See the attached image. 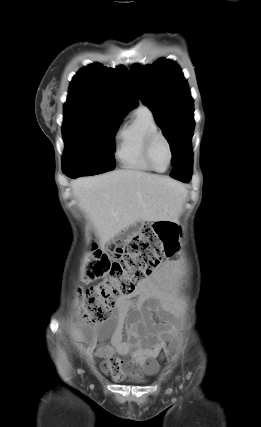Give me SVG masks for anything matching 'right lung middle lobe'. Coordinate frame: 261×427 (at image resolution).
<instances>
[{
    "instance_id": "1",
    "label": "right lung middle lobe",
    "mask_w": 261,
    "mask_h": 427,
    "mask_svg": "<svg viewBox=\"0 0 261 427\" xmlns=\"http://www.w3.org/2000/svg\"><path fill=\"white\" fill-rule=\"evenodd\" d=\"M121 121L93 112L64 113L63 173L88 176L113 170L114 135Z\"/></svg>"
}]
</instances>
